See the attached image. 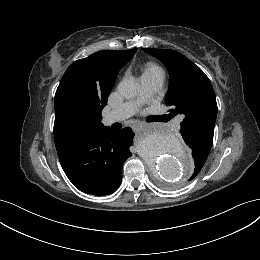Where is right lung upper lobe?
<instances>
[{
	"label": "right lung upper lobe",
	"instance_id": "obj_1",
	"mask_svg": "<svg viewBox=\"0 0 260 260\" xmlns=\"http://www.w3.org/2000/svg\"><path fill=\"white\" fill-rule=\"evenodd\" d=\"M136 50L137 48L103 50L77 60L68 67L57 88L54 101V140L57 150L86 132L104 128L102 116H93L86 120L72 118L66 110L65 97L69 94L82 98L94 97L104 107L117 73Z\"/></svg>",
	"mask_w": 260,
	"mask_h": 260
}]
</instances>
